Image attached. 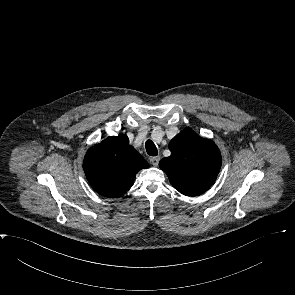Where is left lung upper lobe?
<instances>
[{"instance_id": "1", "label": "left lung upper lobe", "mask_w": 295, "mask_h": 295, "mask_svg": "<svg viewBox=\"0 0 295 295\" xmlns=\"http://www.w3.org/2000/svg\"><path fill=\"white\" fill-rule=\"evenodd\" d=\"M171 155L159 162L171 185L186 196L206 192L221 168V154L216 144L184 129L169 143Z\"/></svg>"}]
</instances>
